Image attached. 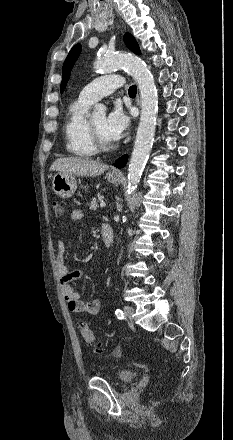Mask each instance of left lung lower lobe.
<instances>
[{"instance_id":"left-lung-lower-lobe-1","label":"left lung lower lobe","mask_w":233,"mask_h":440,"mask_svg":"<svg viewBox=\"0 0 233 440\" xmlns=\"http://www.w3.org/2000/svg\"><path fill=\"white\" fill-rule=\"evenodd\" d=\"M127 159H128V156H127V155L122 156L121 158H119V159L115 162L114 166H115V167H118V168L124 167L125 164H126V162H127Z\"/></svg>"}]
</instances>
